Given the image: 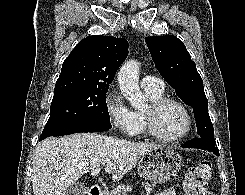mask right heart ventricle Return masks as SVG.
<instances>
[{"label":"right heart ventricle","mask_w":245,"mask_h":195,"mask_svg":"<svg viewBox=\"0 0 245 195\" xmlns=\"http://www.w3.org/2000/svg\"><path fill=\"white\" fill-rule=\"evenodd\" d=\"M150 101H155L164 96V90L162 91H148L145 90ZM134 130L132 132V136H138L144 132V116L143 111H134Z\"/></svg>","instance_id":"right-heart-ventricle-1"}]
</instances>
